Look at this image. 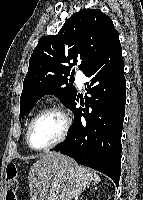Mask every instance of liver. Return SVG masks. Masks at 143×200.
Returning a JSON list of instances; mask_svg holds the SVG:
<instances>
[{
  "instance_id": "1",
  "label": "liver",
  "mask_w": 143,
  "mask_h": 200,
  "mask_svg": "<svg viewBox=\"0 0 143 200\" xmlns=\"http://www.w3.org/2000/svg\"><path fill=\"white\" fill-rule=\"evenodd\" d=\"M75 163L61 153H45L30 168L28 181L31 200H44L54 174L66 165Z\"/></svg>"
}]
</instances>
